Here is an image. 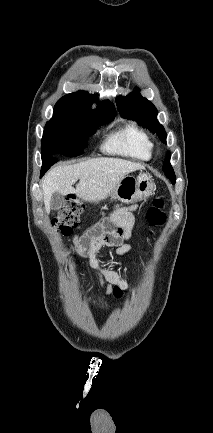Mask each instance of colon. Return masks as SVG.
<instances>
[{
    "mask_svg": "<svg viewBox=\"0 0 213 433\" xmlns=\"http://www.w3.org/2000/svg\"><path fill=\"white\" fill-rule=\"evenodd\" d=\"M164 202L161 198H155L147 211V221L151 226H161L166 220L163 211ZM84 209V204L76 198H70L65 205L52 216V226L62 236H69L79 223V217ZM116 294H119L116 291Z\"/></svg>",
    "mask_w": 213,
    "mask_h": 433,
    "instance_id": "obj_1",
    "label": "colon"
}]
</instances>
